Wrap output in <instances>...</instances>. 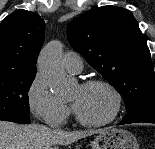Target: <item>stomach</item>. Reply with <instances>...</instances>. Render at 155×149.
I'll use <instances>...</instances> for the list:
<instances>
[{"instance_id":"0dacf381","label":"stomach","mask_w":155,"mask_h":149,"mask_svg":"<svg viewBox=\"0 0 155 149\" xmlns=\"http://www.w3.org/2000/svg\"><path fill=\"white\" fill-rule=\"evenodd\" d=\"M92 149H139L136 137L123 129L108 128L92 142Z\"/></svg>"}]
</instances>
